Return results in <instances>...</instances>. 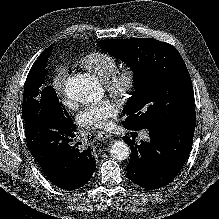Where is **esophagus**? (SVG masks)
I'll use <instances>...</instances> for the list:
<instances>
[{"mask_svg":"<svg viewBox=\"0 0 219 219\" xmlns=\"http://www.w3.org/2000/svg\"><path fill=\"white\" fill-rule=\"evenodd\" d=\"M96 136L101 140H106L111 137V135L105 131H97Z\"/></svg>","mask_w":219,"mask_h":219,"instance_id":"esophagus-1","label":"esophagus"}]
</instances>
